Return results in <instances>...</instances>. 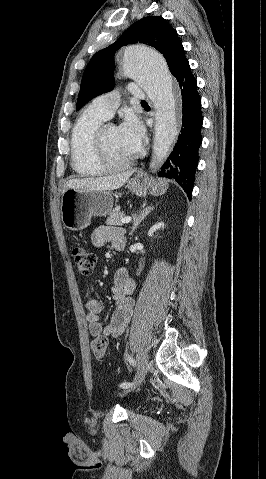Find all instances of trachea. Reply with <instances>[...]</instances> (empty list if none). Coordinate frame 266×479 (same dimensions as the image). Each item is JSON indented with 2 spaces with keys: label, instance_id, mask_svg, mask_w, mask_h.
Segmentation results:
<instances>
[{
  "label": "trachea",
  "instance_id": "3493384b",
  "mask_svg": "<svg viewBox=\"0 0 266 479\" xmlns=\"http://www.w3.org/2000/svg\"><path fill=\"white\" fill-rule=\"evenodd\" d=\"M141 103H146V101L143 100V101H141Z\"/></svg>",
  "mask_w": 266,
  "mask_h": 479
}]
</instances>
